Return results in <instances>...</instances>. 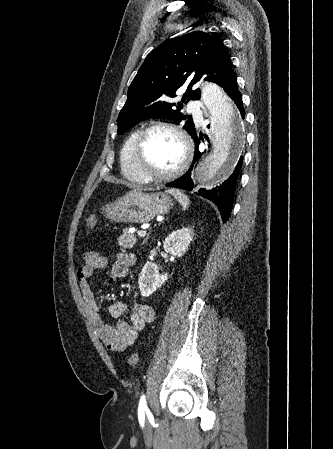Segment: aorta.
Wrapping results in <instances>:
<instances>
[{"instance_id": "1", "label": "aorta", "mask_w": 333, "mask_h": 449, "mask_svg": "<svg viewBox=\"0 0 333 449\" xmlns=\"http://www.w3.org/2000/svg\"><path fill=\"white\" fill-rule=\"evenodd\" d=\"M202 100L212 120L213 146L196 164L194 183L205 188L218 184L221 174L232 167L243 141L240 117L233 100L220 87L208 84Z\"/></svg>"}]
</instances>
